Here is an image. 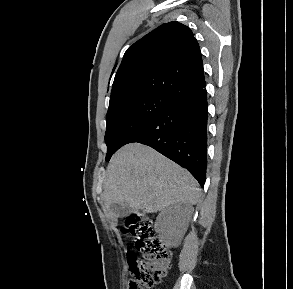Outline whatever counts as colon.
Returning <instances> with one entry per match:
<instances>
[{"label":"colon","mask_w":293,"mask_h":289,"mask_svg":"<svg viewBox=\"0 0 293 289\" xmlns=\"http://www.w3.org/2000/svg\"><path fill=\"white\" fill-rule=\"evenodd\" d=\"M123 232L134 238L135 247L142 254V258L128 254L129 289H154L170 267L171 251L157 239L154 223L149 217H127Z\"/></svg>","instance_id":"1"}]
</instances>
